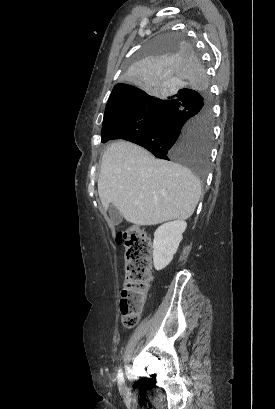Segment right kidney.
<instances>
[{
    "label": "right kidney",
    "mask_w": 275,
    "mask_h": 409,
    "mask_svg": "<svg viewBox=\"0 0 275 409\" xmlns=\"http://www.w3.org/2000/svg\"><path fill=\"white\" fill-rule=\"evenodd\" d=\"M187 227L185 221H172V223H165L158 227L154 233L153 241V265L156 271L165 269L173 259L179 243H181Z\"/></svg>",
    "instance_id": "obj_1"
}]
</instances>
